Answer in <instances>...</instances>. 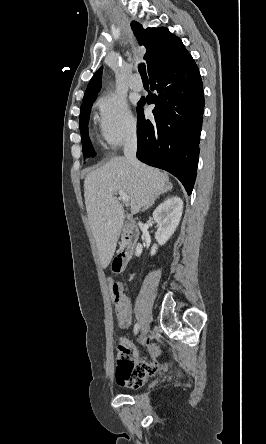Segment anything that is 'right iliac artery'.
<instances>
[{
    "mask_svg": "<svg viewBox=\"0 0 266 444\" xmlns=\"http://www.w3.org/2000/svg\"><path fill=\"white\" fill-rule=\"evenodd\" d=\"M139 328H140L139 323H136L135 326H134V334L135 335L139 332Z\"/></svg>",
    "mask_w": 266,
    "mask_h": 444,
    "instance_id": "82829eb1",
    "label": "right iliac artery"
}]
</instances>
